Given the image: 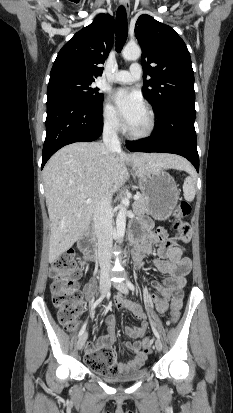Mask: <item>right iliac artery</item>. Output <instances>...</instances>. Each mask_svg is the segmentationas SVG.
Wrapping results in <instances>:
<instances>
[{
	"instance_id": "1",
	"label": "right iliac artery",
	"mask_w": 233,
	"mask_h": 413,
	"mask_svg": "<svg viewBox=\"0 0 233 413\" xmlns=\"http://www.w3.org/2000/svg\"><path fill=\"white\" fill-rule=\"evenodd\" d=\"M105 296H106V293H104L99 299L96 300V302L91 306L90 314H93L96 306L102 302V300L105 298ZM86 325H87V322H85L84 325L82 326V328L79 332V335H78L79 337L84 333V331L86 329Z\"/></svg>"
}]
</instances>
